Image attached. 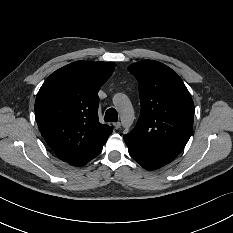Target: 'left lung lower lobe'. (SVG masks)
Returning <instances> with one entry per match:
<instances>
[{
  "label": "left lung lower lobe",
  "instance_id": "left-lung-lower-lobe-1",
  "mask_svg": "<svg viewBox=\"0 0 233 233\" xmlns=\"http://www.w3.org/2000/svg\"><path fill=\"white\" fill-rule=\"evenodd\" d=\"M124 140L131 157L147 170L161 168L175 159L172 155L147 147L126 135Z\"/></svg>",
  "mask_w": 233,
  "mask_h": 233
}]
</instances>
